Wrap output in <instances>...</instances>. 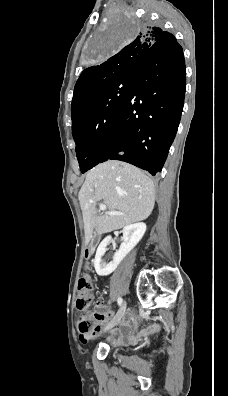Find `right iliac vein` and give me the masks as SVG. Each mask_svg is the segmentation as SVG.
Returning a JSON list of instances; mask_svg holds the SVG:
<instances>
[{
    "instance_id": "1",
    "label": "right iliac vein",
    "mask_w": 228,
    "mask_h": 396,
    "mask_svg": "<svg viewBox=\"0 0 228 396\" xmlns=\"http://www.w3.org/2000/svg\"><path fill=\"white\" fill-rule=\"evenodd\" d=\"M126 310V302L124 301L123 304L121 305V308L119 309L116 317L104 328V332L110 330L114 326L118 324V322L121 320L123 317L124 313Z\"/></svg>"
}]
</instances>
